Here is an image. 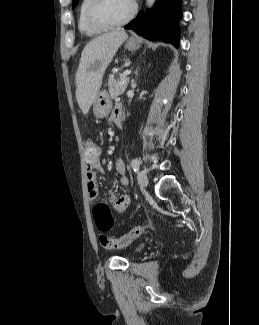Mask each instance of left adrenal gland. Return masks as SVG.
Masks as SVG:
<instances>
[{"mask_svg": "<svg viewBox=\"0 0 259 325\" xmlns=\"http://www.w3.org/2000/svg\"><path fill=\"white\" fill-rule=\"evenodd\" d=\"M136 76H138V70H136Z\"/></svg>", "mask_w": 259, "mask_h": 325, "instance_id": "obj_1", "label": "left adrenal gland"}]
</instances>
